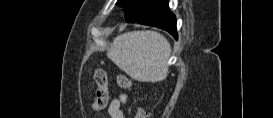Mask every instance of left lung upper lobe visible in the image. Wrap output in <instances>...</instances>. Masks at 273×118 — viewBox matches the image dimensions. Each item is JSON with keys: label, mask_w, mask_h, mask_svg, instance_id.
I'll use <instances>...</instances> for the list:
<instances>
[{"label": "left lung upper lobe", "mask_w": 273, "mask_h": 118, "mask_svg": "<svg viewBox=\"0 0 273 118\" xmlns=\"http://www.w3.org/2000/svg\"><path fill=\"white\" fill-rule=\"evenodd\" d=\"M167 3L168 0H118L116 4L124 8L126 22L136 23L159 12Z\"/></svg>", "instance_id": "obj_1"}]
</instances>
